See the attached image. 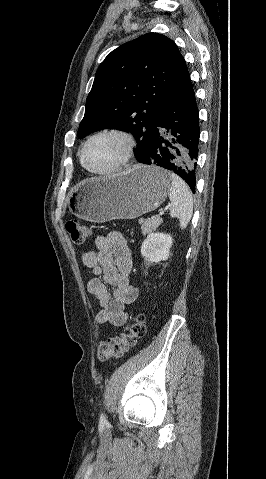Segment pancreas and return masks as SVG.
<instances>
[{"label":"pancreas","instance_id":"cf45deb5","mask_svg":"<svg viewBox=\"0 0 266 479\" xmlns=\"http://www.w3.org/2000/svg\"><path fill=\"white\" fill-rule=\"evenodd\" d=\"M161 223L162 219L160 217L139 220V224H141V230L144 235L154 231L157 227L161 225Z\"/></svg>","mask_w":266,"mask_h":479}]
</instances>
